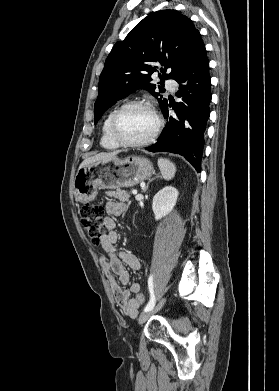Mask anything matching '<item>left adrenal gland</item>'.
<instances>
[{"mask_svg": "<svg viewBox=\"0 0 279 391\" xmlns=\"http://www.w3.org/2000/svg\"><path fill=\"white\" fill-rule=\"evenodd\" d=\"M158 177H159V176H156V177L152 178L151 180H149V182L147 183L146 187L143 188L142 192H146L147 189H148L149 184H150L153 180H155L156 178H158Z\"/></svg>", "mask_w": 279, "mask_h": 391, "instance_id": "left-adrenal-gland-1", "label": "left adrenal gland"}]
</instances>
